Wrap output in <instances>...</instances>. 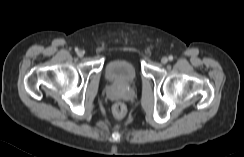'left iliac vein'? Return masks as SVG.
<instances>
[{"label":"left iliac vein","instance_id":"1","mask_svg":"<svg viewBox=\"0 0 244 157\" xmlns=\"http://www.w3.org/2000/svg\"><path fill=\"white\" fill-rule=\"evenodd\" d=\"M161 62L163 64H166L168 62V58L167 57H162Z\"/></svg>","mask_w":244,"mask_h":157}]
</instances>
